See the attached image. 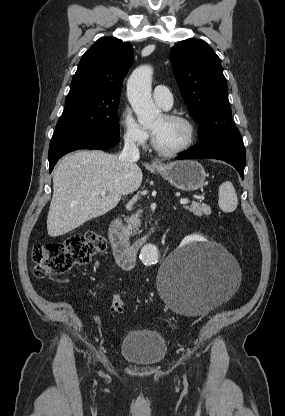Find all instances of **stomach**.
<instances>
[{
  "label": "stomach",
  "mask_w": 285,
  "mask_h": 416,
  "mask_svg": "<svg viewBox=\"0 0 285 416\" xmlns=\"http://www.w3.org/2000/svg\"><path fill=\"white\" fill-rule=\"evenodd\" d=\"M162 178L168 180L169 184L183 190V192H194L201 188L205 182L206 174L204 168L194 160H180L171 164H159L155 168Z\"/></svg>",
  "instance_id": "stomach-1"
}]
</instances>
